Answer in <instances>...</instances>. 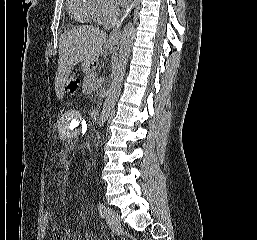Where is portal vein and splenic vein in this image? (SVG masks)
<instances>
[{"mask_svg": "<svg viewBox=\"0 0 257 240\" xmlns=\"http://www.w3.org/2000/svg\"><path fill=\"white\" fill-rule=\"evenodd\" d=\"M99 82L102 83V82H103V79L100 78ZM93 89H95V88H93Z\"/></svg>", "mask_w": 257, "mask_h": 240, "instance_id": "portal-vein-and-splenic-vein-1", "label": "portal vein and splenic vein"}]
</instances>
